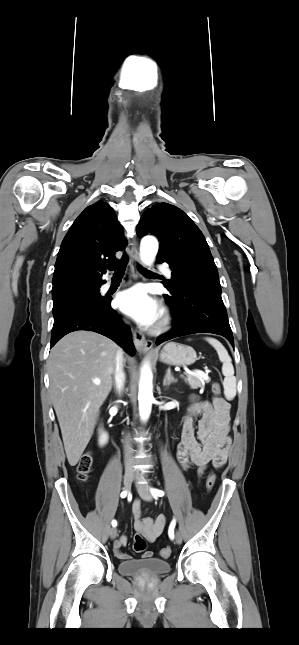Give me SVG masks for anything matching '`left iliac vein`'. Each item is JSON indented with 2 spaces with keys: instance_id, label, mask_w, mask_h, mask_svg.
Instances as JSON below:
<instances>
[{
  "instance_id": "1",
  "label": "left iliac vein",
  "mask_w": 299,
  "mask_h": 645,
  "mask_svg": "<svg viewBox=\"0 0 299 645\" xmlns=\"http://www.w3.org/2000/svg\"><path fill=\"white\" fill-rule=\"evenodd\" d=\"M138 492L140 497L145 500V501H152L153 497L152 494L150 493L149 489L145 485H139L138 486ZM182 542V536L179 532L176 533V543L181 544Z\"/></svg>"
}]
</instances>
